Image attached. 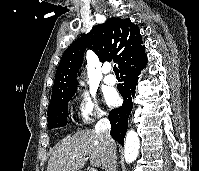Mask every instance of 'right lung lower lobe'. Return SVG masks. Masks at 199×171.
<instances>
[{
	"label": "right lung lower lobe",
	"instance_id": "right-lung-lower-lobe-1",
	"mask_svg": "<svg viewBox=\"0 0 199 171\" xmlns=\"http://www.w3.org/2000/svg\"><path fill=\"white\" fill-rule=\"evenodd\" d=\"M146 55L140 60L133 62L120 70L123 75V84L117 88L123 96L124 103L121 107L113 109L109 113L111 123V136L121 145L124 143V137L127 131L128 117L133 107V98L135 96V88L139 79L140 72L146 67Z\"/></svg>",
	"mask_w": 199,
	"mask_h": 171
}]
</instances>
